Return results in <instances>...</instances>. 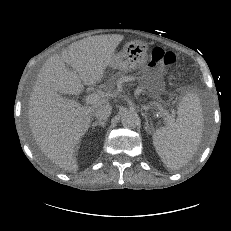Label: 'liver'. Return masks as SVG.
Wrapping results in <instances>:
<instances>
[{"mask_svg": "<svg viewBox=\"0 0 231 231\" xmlns=\"http://www.w3.org/2000/svg\"><path fill=\"white\" fill-rule=\"evenodd\" d=\"M123 35H97L81 39L51 56L43 65L29 99L28 119L33 138L55 165L78 170L76 152L90 127L95 110L108 103L101 98L81 106L60 94H80L84 85L99 83L110 66ZM72 67L71 71L67 66Z\"/></svg>", "mask_w": 231, "mask_h": 231, "instance_id": "6515ba94", "label": "liver"}]
</instances>
